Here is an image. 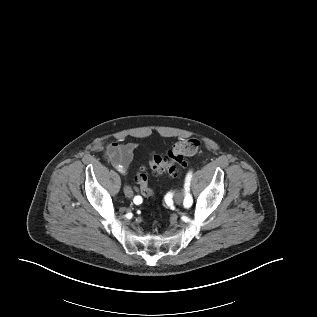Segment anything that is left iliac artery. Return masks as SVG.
<instances>
[{
    "label": "left iliac artery",
    "mask_w": 317,
    "mask_h": 317,
    "mask_svg": "<svg viewBox=\"0 0 317 317\" xmlns=\"http://www.w3.org/2000/svg\"><path fill=\"white\" fill-rule=\"evenodd\" d=\"M192 178V172H189L185 179L184 189H185V199H184V205L185 207H190L193 200L192 196L190 194V181Z\"/></svg>",
    "instance_id": "obj_1"
}]
</instances>
